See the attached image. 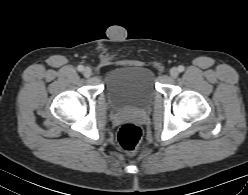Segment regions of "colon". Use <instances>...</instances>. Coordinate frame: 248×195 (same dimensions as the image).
Segmentation results:
<instances>
[{
  "mask_svg": "<svg viewBox=\"0 0 248 195\" xmlns=\"http://www.w3.org/2000/svg\"><path fill=\"white\" fill-rule=\"evenodd\" d=\"M117 141L126 153L136 154L142 146V131L136 124L126 123L120 127Z\"/></svg>",
  "mask_w": 248,
  "mask_h": 195,
  "instance_id": "1",
  "label": "colon"
}]
</instances>
